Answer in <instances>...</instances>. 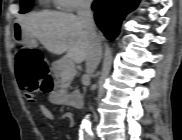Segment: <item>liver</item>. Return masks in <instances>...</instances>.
<instances>
[{"label":"liver","instance_id":"6515ba94","mask_svg":"<svg viewBox=\"0 0 182 140\" xmlns=\"http://www.w3.org/2000/svg\"><path fill=\"white\" fill-rule=\"evenodd\" d=\"M18 22L24 39H38L49 52L67 53V57L76 63L86 60L90 39L78 16L45 10L20 17ZM98 37L100 41L104 39L102 33Z\"/></svg>","mask_w":182,"mask_h":140}]
</instances>
